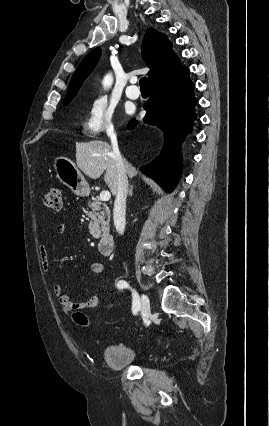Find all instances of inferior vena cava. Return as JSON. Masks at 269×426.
<instances>
[{
  "label": "inferior vena cava",
  "mask_w": 269,
  "mask_h": 426,
  "mask_svg": "<svg viewBox=\"0 0 269 426\" xmlns=\"http://www.w3.org/2000/svg\"><path fill=\"white\" fill-rule=\"evenodd\" d=\"M112 152L116 161L117 169V186L115 192V203L113 210L114 225L119 234H123L125 230L126 220V198L128 194V178L127 168L128 163L122 158L119 149L117 138L115 134L110 135Z\"/></svg>",
  "instance_id": "602c4592"
}]
</instances>
